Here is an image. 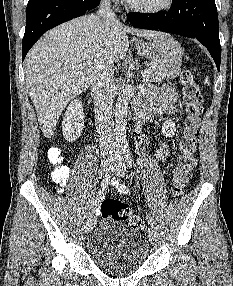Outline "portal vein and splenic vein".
<instances>
[{"instance_id":"18ae733b","label":"portal vein and splenic vein","mask_w":233,"mask_h":286,"mask_svg":"<svg viewBox=\"0 0 233 286\" xmlns=\"http://www.w3.org/2000/svg\"><path fill=\"white\" fill-rule=\"evenodd\" d=\"M141 74L143 75V76H145V75H148L149 74V71L148 70H142L141 71Z\"/></svg>"}]
</instances>
